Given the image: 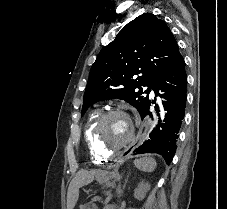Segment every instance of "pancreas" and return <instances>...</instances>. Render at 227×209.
<instances>
[{
  "instance_id": "1",
  "label": "pancreas",
  "mask_w": 227,
  "mask_h": 209,
  "mask_svg": "<svg viewBox=\"0 0 227 209\" xmlns=\"http://www.w3.org/2000/svg\"><path fill=\"white\" fill-rule=\"evenodd\" d=\"M85 209H92L90 206H87Z\"/></svg>"
}]
</instances>
